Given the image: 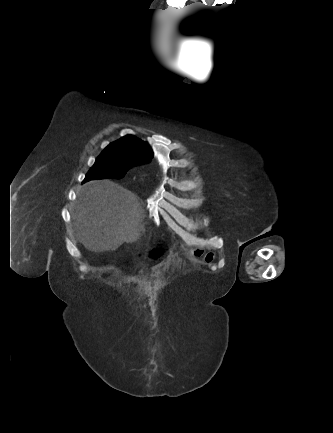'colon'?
<instances>
[{
    "mask_svg": "<svg viewBox=\"0 0 333 433\" xmlns=\"http://www.w3.org/2000/svg\"><path fill=\"white\" fill-rule=\"evenodd\" d=\"M158 246L160 248H163L165 246V243L163 241H160L158 243V245L157 244H150L149 248H148L149 249L148 255H154V253H157V255H164V252H158V249H159Z\"/></svg>",
    "mask_w": 333,
    "mask_h": 433,
    "instance_id": "obj_1",
    "label": "colon"
}]
</instances>
